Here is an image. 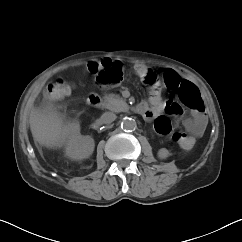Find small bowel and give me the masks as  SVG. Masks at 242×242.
<instances>
[{
	"instance_id": "1",
	"label": "small bowel",
	"mask_w": 242,
	"mask_h": 242,
	"mask_svg": "<svg viewBox=\"0 0 242 242\" xmlns=\"http://www.w3.org/2000/svg\"><path fill=\"white\" fill-rule=\"evenodd\" d=\"M107 63H115L122 68V65L117 61L105 60ZM135 71L140 77L145 75L149 69L142 65H136ZM151 71V70H150ZM171 72L179 79L183 80L182 77L173 70L165 71V74ZM164 74V80H165ZM146 106H148L146 104ZM159 110H164L173 120L176 129H179L183 125L189 134L176 132V139L183 151H187L192 148L194 144V136L198 135L205 127V116L202 113L196 112L189 117H184L182 109L179 104L175 102L163 103L158 94L154 95V105L147 107V111L143 114V117L147 120L152 119Z\"/></svg>"
}]
</instances>
